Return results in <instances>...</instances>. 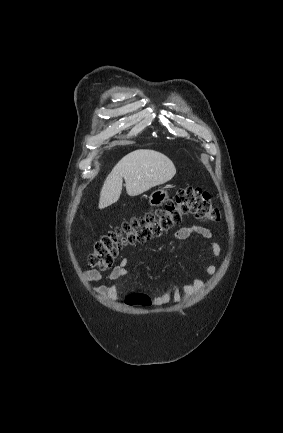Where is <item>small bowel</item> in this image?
Listing matches in <instances>:
<instances>
[{
    "label": "small bowel",
    "instance_id": "small-bowel-1",
    "mask_svg": "<svg viewBox=\"0 0 283 433\" xmlns=\"http://www.w3.org/2000/svg\"><path fill=\"white\" fill-rule=\"evenodd\" d=\"M173 236L174 239L178 241L187 240L192 236H198L208 243L213 257H217L221 252V247L213 232L203 226L190 224L177 229ZM128 263L129 260L127 257L122 258L119 264L107 274H103L95 269L88 270L85 272V279L87 282H109L108 284L95 287L94 291L109 300H116L118 298L116 281L128 275ZM215 272L216 267L214 265L210 264L204 267V273L208 277H212ZM204 285L205 283L202 279L193 278L190 282L183 284L181 287L172 286L164 293L153 296L151 301L156 305H166L170 302L178 304L183 298H189L199 292Z\"/></svg>",
    "mask_w": 283,
    "mask_h": 433
}]
</instances>
